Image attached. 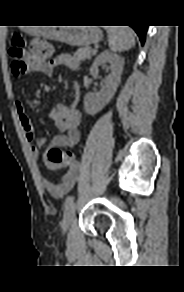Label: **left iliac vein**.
<instances>
[{
  "label": "left iliac vein",
  "instance_id": "4c4485c4",
  "mask_svg": "<svg viewBox=\"0 0 184 292\" xmlns=\"http://www.w3.org/2000/svg\"><path fill=\"white\" fill-rule=\"evenodd\" d=\"M75 204L73 203L71 206H69L68 208H66V211L64 213V217L63 220L61 222V228H62V232L66 233L69 228L71 227L74 218H75Z\"/></svg>",
  "mask_w": 184,
  "mask_h": 292
}]
</instances>
